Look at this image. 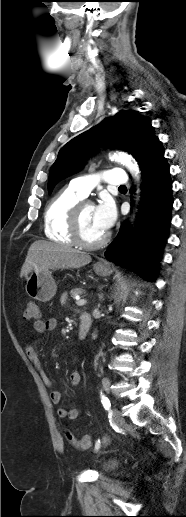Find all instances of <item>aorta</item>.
I'll return each mask as SVG.
<instances>
[{
  "instance_id": "762f6f07",
  "label": "aorta",
  "mask_w": 186,
  "mask_h": 517,
  "mask_svg": "<svg viewBox=\"0 0 186 517\" xmlns=\"http://www.w3.org/2000/svg\"><path fill=\"white\" fill-rule=\"evenodd\" d=\"M112 159H114L115 161L126 166L128 168V170L130 171V173L134 176V178L137 181H139L140 171H139L138 164L133 160V158L130 155H128L127 153H124V152H120V153L114 154L112 156Z\"/></svg>"
}]
</instances>
